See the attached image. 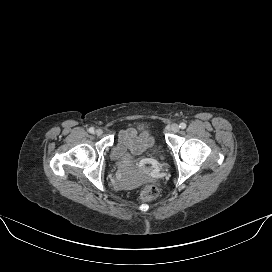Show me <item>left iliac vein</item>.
Listing matches in <instances>:
<instances>
[{
  "mask_svg": "<svg viewBox=\"0 0 272 272\" xmlns=\"http://www.w3.org/2000/svg\"><path fill=\"white\" fill-rule=\"evenodd\" d=\"M169 129H170L172 132H178L179 129H180V127H179L178 124L174 123V124H172V125L170 126Z\"/></svg>",
  "mask_w": 272,
  "mask_h": 272,
  "instance_id": "4c4485c4",
  "label": "left iliac vein"
}]
</instances>
